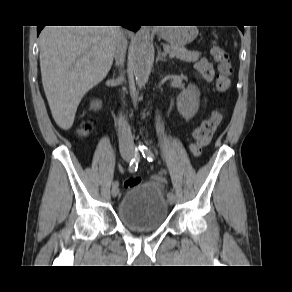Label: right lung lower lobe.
Instances as JSON below:
<instances>
[{
  "instance_id": "obj_1",
  "label": "right lung lower lobe",
  "mask_w": 292,
  "mask_h": 292,
  "mask_svg": "<svg viewBox=\"0 0 292 292\" xmlns=\"http://www.w3.org/2000/svg\"><path fill=\"white\" fill-rule=\"evenodd\" d=\"M44 26H37V34L39 35L40 31L42 30ZM124 27H127L128 29L130 30H133V31H137L139 29L140 26L138 25H126Z\"/></svg>"
}]
</instances>
